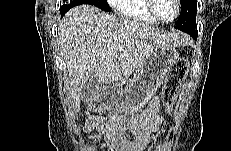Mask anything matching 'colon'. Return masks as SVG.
<instances>
[{
  "label": "colon",
  "mask_w": 231,
  "mask_h": 151,
  "mask_svg": "<svg viewBox=\"0 0 231 151\" xmlns=\"http://www.w3.org/2000/svg\"><path fill=\"white\" fill-rule=\"evenodd\" d=\"M189 70L186 58H180L170 68L163 86L162 99L169 111L173 110L179 86L185 80Z\"/></svg>",
  "instance_id": "5ec220e1"
}]
</instances>
